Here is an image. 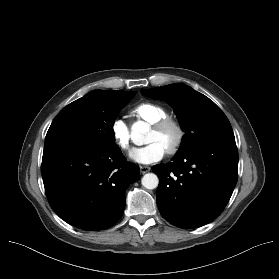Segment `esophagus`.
<instances>
[{"label": "esophagus", "instance_id": "1", "mask_svg": "<svg viewBox=\"0 0 279 279\" xmlns=\"http://www.w3.org/2000/svg\"><path fill=\"white\" fill-rule=\"evenodd\" d=\"M150 170H151V168L148 166H140V172L142 174H145V173L149 172Z\"/></svg>", "mask_w": 279, "mask_h": 279}]
</instances>
